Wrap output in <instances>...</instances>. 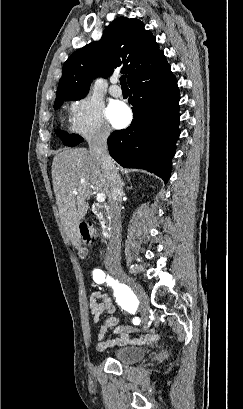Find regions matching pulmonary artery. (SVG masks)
<instances>
[{
    "mask_svg": "<svg viewBox=\"0 0 243 409\" xmlns=\"http://www.w3.org/2000/svg\"><path fill=\"white\" fill-rule=\"evenodd\" d=\"M117 81H118L117 77H112L111 78L112 85L109 88V93L113 97H121L122 96L121 88L118 85H116Z\"/></svg>",
    "mask_w": 243,
    "mask_h": 409,
    "instance_id": "e3ab8cb5",
    "label": "pulmonary artery"
}]
</instances>
